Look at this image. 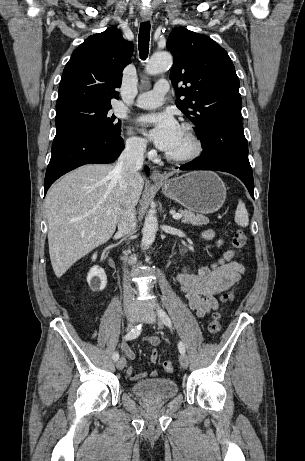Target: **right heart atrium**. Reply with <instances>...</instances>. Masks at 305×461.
Returning a JSON list of instances; mask_svg holds the SVG:
<instances>
[{
	"mask_svg": "<svg viewBox=\"0 0 305 461\" xmlns=\"http://www.w3.org/2000/svg\"><path fill=\"white\" fill-rule=\"evenodd\" d=\"M126 149L135 156H142L147 150V143L145 139L135 135L129 131L125 141Z\"/></svg>",
	"mask_w": 305,
	"mask_h": 461,
	"instance_id": "obj_1",
	"label": "right heart atrium"
}]
</instances>
